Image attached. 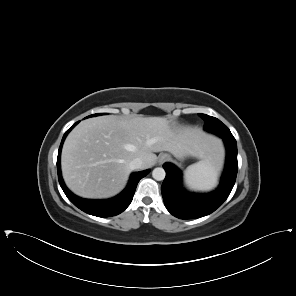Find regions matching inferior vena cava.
<instances>
[{
	"instance_id": "obj_1",
	"label": "inferior vena cava",
	"mask_w": 296,
	"mask_h": 296,
	"mask_svg": "<svg viewBox=\"0 0 296 296\" xmlns=\"http://www.w3.org/2000/svg\"><path fill=\"white\" fill-rule=\"evenodd\" d=\"M143 166V161L140 158H135L129 163V167L131 170L141 169Z\"/></svg>"
}]
</instances>
